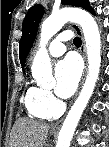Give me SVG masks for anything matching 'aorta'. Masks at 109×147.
<instances>
[{
  "instance_id": "obj_1",
  "label": "aorta",
  "mask_w": 109,
  "mask_h": 147,
  "mask_svg": "<svg viewBox=\"0 0 109 147\" xmlns=\"http://www.w3.org/2000/svg\"><path fill=\"white\" fill-rule=\"evenodd\" d=\"M68 21L78 23L84 33L88 73L83 88L71 107L59 133L57 147H69L76 126L94 91L101 63V40L98 25L90 13L80 8H62L52 13L41 26L40 45L31 67L36 83L47 87L53 82L52 66L46 45Z\"/></svg>"
}]
</instances>
